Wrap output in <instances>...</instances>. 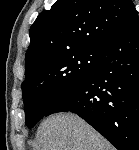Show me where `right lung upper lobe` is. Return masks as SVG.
Segmentation results:
<instances>
[{
  "label": "right lung upper lobe",
  "instance_id": "right-lung-upper-lobe-1",
  "mask_svg": "<svg viewBox=\"0 0 139 150\" xmlns=\"http://www.w3.org/2000/svg\"><path fill=\"white\" fill-rule=\"evenodd\" d=\"M135 13L131 0H57L30 28L26 75L60 54L103 49Z\"/></svg>",
  "mask_w": 139,
  "mask_h": 150
}]
</instances>
